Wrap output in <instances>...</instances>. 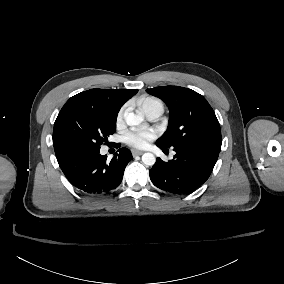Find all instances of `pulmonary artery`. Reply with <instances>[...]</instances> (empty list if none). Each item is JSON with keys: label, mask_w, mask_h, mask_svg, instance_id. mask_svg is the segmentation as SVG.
Segmentation results:
<instances>
[{"label": "pulmonary artery", "mask_w": 284, "mask_h": 284, "mask_svg": "<svg viewBox=\"0 0 284 284\" xmlns=\"http://www.w3.org/2000/svg\"><path fill=\"white\" fill-rule=\"evenodd\" d=\"M163 104L161 103H150L144 109V113L148 120L156 121L163 113Z\"/></svg>", "instance_id": "pulmonary-artery-1"}]
</instances>
